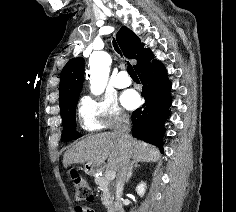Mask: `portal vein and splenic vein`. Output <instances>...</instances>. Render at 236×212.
Wrapping results in <instances>:
<instances>
[{"label": "portal vein and splenic vein", "instance_id": "obj_1", "mask_svg": "<svg viewBox=\"0 0 236 212\" xmlns=\"http://www.w3.org/2000/svg\"><path fill=\"white\" fill-rule=\"evenodd\" d=\"M116 176V172L114 170H109L107 173H106V178L108 180H113Z\"/></svg>", "mask_w": 236, "mask_h": 212}]
</instances>
